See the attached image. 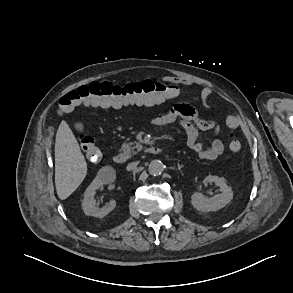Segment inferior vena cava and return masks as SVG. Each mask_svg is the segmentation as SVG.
Listing matches in <instances>:
<instances>
[{
    "label": "inferior vena cava",
    "instance_id": "obj_1",
    "mask_svg": "<svg viewBox=\"0 0 293 293\" xmlns=\"http://www.w3.org/2000/svg\"><path fill=\"white\" fill-rule=\"evenodd\" d=\"M137 165H138V162H132V163L127 165L126 169L128 171L134 170V169H136Z\"/></svg>",
    "mask_w": 293,
    "mask_h": 293
}]
</instances>
